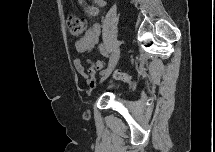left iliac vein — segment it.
<instances>
[{
    "label": "left iliac vein",
    "instance_id": "4c4485c4",
    "mask_svg": "<svg viewBox=\"0 0 215 152\" xmlns=\"http://www.w3.org/2000/svg\"><path fill=\"white\" fill-rule=\"evenodd\" d=\"M119 55H120V49L116 48L112 54V56L110 57V61H109V65L107 67V69L105 70V75L101 77L100 82H103L110 74L111 72L114 70L117 61L119 59Z\"/></svg>",
    "mask_w": 215,
    "mask_h": 152
}]
</instances>
